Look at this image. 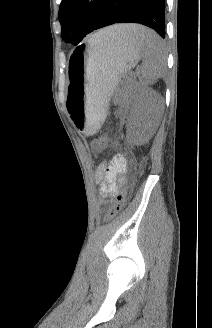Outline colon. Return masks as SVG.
Instances as JSON below:
<instances>
[{
    "mask_svg": "<svg viewBox=\"0 0 212 328\" xmlns=\"http://www.w3.org/2000/svg\"><path fill=\"white\" fill-rule=\"evenodd\" d=\"M108 142V137L105 134H102L96 138L91 144L94 154L105 151L108 146ZM126 194V189H124L117 195L115 202L109 207L104 216V220L106 222L111 221L123 209L126 201Z\"/></svg>",
    "mask_w": 212,
    "mask_h": 328,
    "instance_id": "1",
    "label": "colon"
}]
</instances>
